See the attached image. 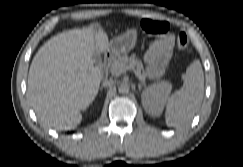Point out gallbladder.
Masks as SVG:
<instances>
[{"instance_id": "gallbladder-1", "label": "gallbladder", "mask_w": 243, "mask_h": 167, "mask_svg": "<svg viewBox=\"0 0 243 167\" xmlns=\"http://www.w3.org/2000/svg\"><path fill=\"white\" fill-rule=\"evenodd\" d=\"M98 30H100L98 27H95L94 28V33H96V32H98ZM94 60H95V62L97 63V64H99L100 62H101V54L98 52V51H96L95 50V52H94Z\"/></svg>"}]
</instances>
